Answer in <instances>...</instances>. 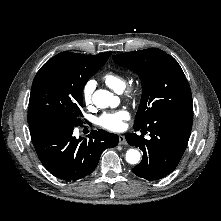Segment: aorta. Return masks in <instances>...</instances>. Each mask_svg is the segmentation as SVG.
I'll use <instances>...</instances> for the list:
<instances>
[{"label":"aorta","mask_w":221,"mask_h":221,"mask_svg":"<svg viewBox=\"0 0 221 221\" xmlns=\"http://www.w3.org/2000/svg\"><path fill=\"white\" fill-rule=\"evenodd\" d=\"M93 103L98 108H107L114 104L116 98L107 90L99 89L94 92L92 97ZM140 152L136 149H129L126 152V161L129 164H137L140 161Z\"/></svg>","instance_id":"1"}]
</instances>
